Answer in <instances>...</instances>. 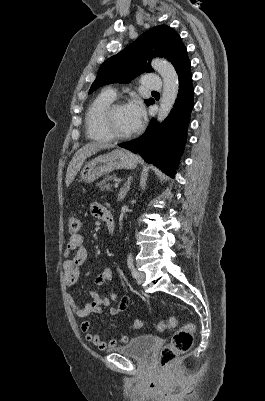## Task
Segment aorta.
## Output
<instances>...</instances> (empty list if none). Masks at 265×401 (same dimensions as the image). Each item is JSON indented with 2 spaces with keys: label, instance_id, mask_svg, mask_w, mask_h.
I'll list each match as a JSON object with an SVG mask.
<instances>
[{
  "label": "aorta",
  "instance_id": "aorta-1",
  "mask_svg": "<svg viewBox=\"0 0 265 401\" xmlns=\"http://www.w3.org/2000/svg\"><path fill=\"white\" fill-rule=\"evenodd\" d=\"M151 64L159 72L163 80V92L158 112V120L162 122L168 116L177 98L179 88L178 74L173 64L168 60H164V58H153Z\"/></svg>",
  "mask_w": 265,
  "mask_h": 401
}]
</instances>
